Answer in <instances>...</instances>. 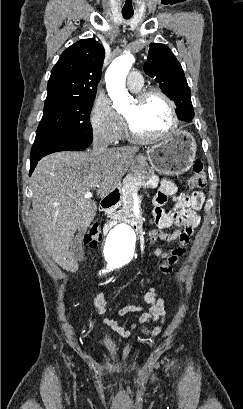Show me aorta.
I'll list each match as a JSON object with an SVG mask.
<instances>
[{"label": "aorta", "instance_id": "obj_1", "mask_svg": "<svg viewBox=\"0 0 243 409\" xmlns=\"http://www.w3.org/2000/svg\"><path fill=\"white\" fill-rule=\"evenodd\" d=\"M134 61L131 54L121 55L110 64L106 71V88L113 104L117 107L124 106L129 101L125 80ZM135 239V231L130 225L126 223L116 225L106 237L104 252L107 260L115 261L129 254Z\"/></svg>", "mask_w": 243, "mask_h": 409}]
</instances>
